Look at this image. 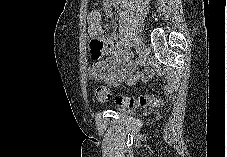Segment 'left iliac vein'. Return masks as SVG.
Instances as JSON below:
<instances>
[{
  "label": "left iliac vein",
  "mask_w": 227,
  "mask_h": 157,
  "mask_svg": "<svg viewBox=\"0 0 227 157\" xmlns=\"http://www.w3.org/2000/svg\"><path fill=\"white\" fill-rule=\"evenodd\" d=\"M149 56V49L146 47L145 43L141 40L139 44V57L142 61H145Z\"/></svg>",
  "instance_id": "obj_1"
}]
</instances>
